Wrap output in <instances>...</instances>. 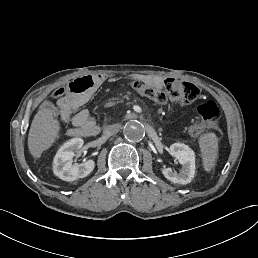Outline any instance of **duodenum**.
I'll use <instances>...</instances> for the list:
<instances>
[{"instance_id": "410a0bca", "label": "duodenum", "mask_w": 258, "mask_h": 258, "mask_svg": "<svg viewBox=\"0 0 258 258\" xmlns=\"http://www.w3.org/2000/svg\"><path fill=\"white\" fill-rule=\"evenodd\" d=\"M97 81L101 82L105 79L104 76H96L95 77ZM76 136H88L85 132H82V131H78L76 132Z\"/></svg>"}]
</instances>
